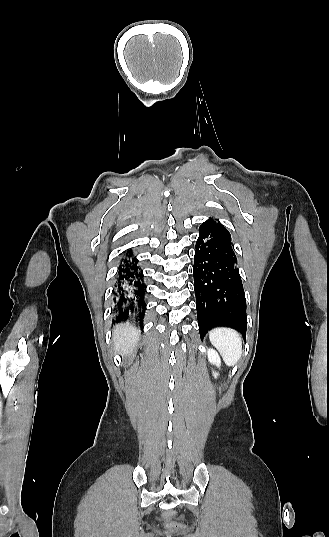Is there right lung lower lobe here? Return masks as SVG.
Here are the masks:
<instances>
[{
    "label": "right lung lower lobe",
    "mask_w": 329,
    "mask_h": 537,
    "mask_svg": "<svg viewBox=\"0 0 329 537\" xmlns=\"http://www.w3.org/2000/svg\"><path fill=\"white\" fill-rule=\"evenodd\" d=\"M124 256L125 258L121 260L114 290V312L118 321L142 318L146 294L144 276L138 265V260L133 256L132 250H127Z\"/></svg>",
    "instance_id": "right-lung-lower-lobe-1"
}]
</instances>
